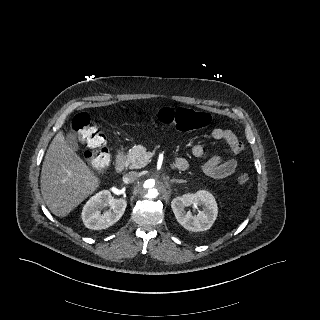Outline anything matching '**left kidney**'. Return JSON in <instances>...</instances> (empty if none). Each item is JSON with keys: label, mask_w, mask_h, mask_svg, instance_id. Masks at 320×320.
<instances>
[{"label": "left kidney", "mask_w": 320, "mask_h": 320, "mask_svg": "<svg viewBox=\"0 0 320 320\" xmlns=\"http://www.w3.org/2000/svg\"><path fill=\"white\" fill-rule=\"evenodd\" d=\"M202 205L203 210L193 215L191 211H186V207ZM171 208L177 221L187 230L193 232L206 231L210 229L218 214L217 203L211 193L206 190H199L196 193L184 194L176 197L171 202Z\"/></svg>", "instance_id": "5707ae66"}]
</instances>
